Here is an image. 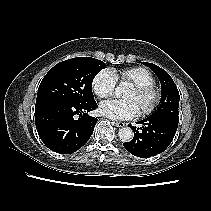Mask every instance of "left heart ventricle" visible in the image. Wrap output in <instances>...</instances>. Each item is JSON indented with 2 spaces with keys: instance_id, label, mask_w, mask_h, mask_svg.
<instances>
[{
  "instance_id": "1",
  "label": "left heart ventricle",
  "mask_w": 211,
  "mask_h": 211,
  "mask_svg": "<svg viewBox=\"0 0 211 211\" xmlns=\"http://www.w3.org/2000/svg\"><path fill=\"white\" fill-rule=\"evenodd\" d=\"M125 98L135 101L139 109H141L148 102V99L141 97L133 87L125 95Z\"/></svg>"
}]
</instances>
